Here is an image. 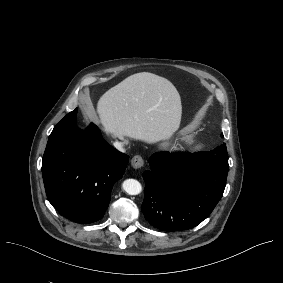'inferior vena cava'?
<instances>
[{
  "mask_svg": "<svg viewBox=\"0 0 283 283\" xmlns=\"http://www.w3.org/2000/svg\"><path fill=\"white\" fill-rule=\"evenodd\" d=\"M114 146L121 152H125V150L122 147V144L120 142H115Z\"/></svg>",
  "mask_w": 283,
  "mask_h": 283,
  "instance_id": "obj_1",
  "label": "inferior vena cava"
}]
</instances>
